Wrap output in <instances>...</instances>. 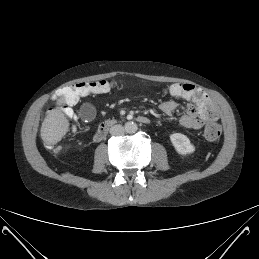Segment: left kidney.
<instances>
[{"instance_id":"1","label":"left kidney","mask_w":259,"mask_h":259,"mask_svg":"<svg viewBox=\"0 0 259 259\" xmlns=\"http://www.w3.org/2000/svg\"><path fill=\"white\" fill-rule=\"evenodd\" d=\"M170 141L175 150L181 155L191 154L195 151V147L191 144L189 138L181 133H174L170 135Z\"/></svg>"}]
</instances>
